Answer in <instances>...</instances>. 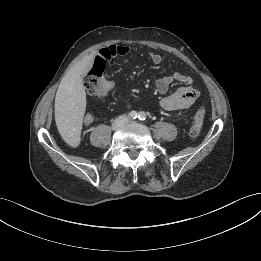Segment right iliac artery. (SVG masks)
Returning <instances> with one entry per match:
<instances>
[{"label":"right iliac artery","instance_id":"1","mask_svg":"<svg viewBox=\"0 0 261 261\" xmlns=\"http://www.w3.org/2000/svg\"><path fill=\"white\" fill-rule=\"evenodd\" d=\"M130 119H136L138 117V113L136 111H131L128 115Z\"/></svg>","mask_w":261,"mask_h":261}]
</instances>
